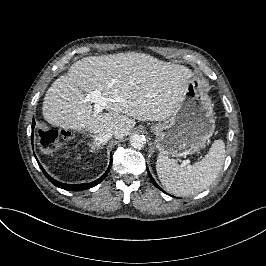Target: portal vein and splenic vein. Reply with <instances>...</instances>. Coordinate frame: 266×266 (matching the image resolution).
Returning a JSON list of instances; mask_svg holds the SVG:
<instances>
[{
	"instance_id": "portal-vein-and-splenic-vein-1",
	"label": "portal vein and splenic vein",
	"mask_w": 266,
	"mask_h": 266,
	"mask_svg": "<svg viewBox=\"0 0 266 266\" xmlns=\"http://www.w3.org/2000/svg\"><path fill=\"white\" fill-rule=\"evenodd\" d=\"M108 99L106 97H104L98 90L92 91L90 93H88L85 97L84 100H80V103H84V102H91L95 104V110L97 112H101L102 110H104L107 106L108 103ZM123 103L129 104V105H133L132 102H127L125 100H122ZM188 164V161L185 160L182 163V166L185 167Z\"/></svg>"
}]
</instances>
